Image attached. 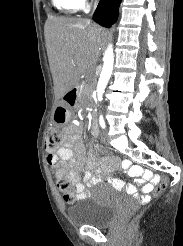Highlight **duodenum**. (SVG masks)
I'll use <instances>...</instances> for the list:
<instances>
[{"mask_svg": "<svg viewBox=\"0 0 183 246\" xmlns=\"http://www.w3.org/2000/svg\"><path fill=\"white\" fill-rule=\"evenodd\" d=\"M79 92V87L75 86L71 88L65 95L64 100L71 106H74L77 102V96ZM97 142V141H96ZM90 151H99L100 147L96 143H92L89 147Z\"/></svg>", "mask_w": 183, "mask_h": 246, "instance_id": "obj_1", "label": "duodenum"}]
</instances>
